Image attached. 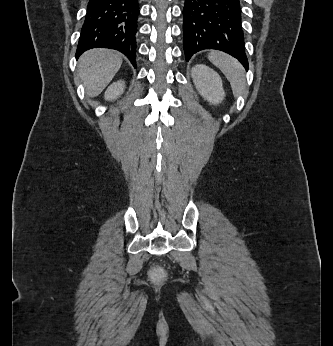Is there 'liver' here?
<instances>
[{"instance_id":"liver-1","label":"liver","mask_w":333,"mask_h":346,"mask_svg":"<svg viewBox=\"0 0 333 346\" xmlns=\"http://www.w3.org/2000/svg\"><path fill=\"white\" fill-rule=\"evenodd\" d=\"M121 64V54L113 50L91 49L82 54L78 61V75L87 95L98 96L111 82Z\"/></svg>"}]
</instances>
